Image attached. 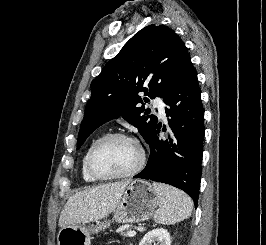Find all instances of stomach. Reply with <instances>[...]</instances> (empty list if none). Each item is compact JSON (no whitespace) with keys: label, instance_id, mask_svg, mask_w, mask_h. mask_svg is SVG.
<instances>
[{"label":"stomach","instance_id":"obj_1","mask_svg":"<svg viewBox=\"0 0 266 245\" xmlns=\"http://www.w3.org/2000/svg\"><path fill=\"white\" fill-rule=\"evenodd\" d=\"M159 205L151 183L131 181L113 211L111 221H96V225H67L62 227L57 237L58 245H91V235L108 229L110 223H140L148 221L156 213Z\"/></svg>","mask_w":266,"mask_h":245}]
</instances>
